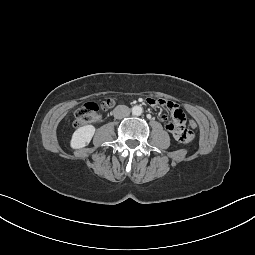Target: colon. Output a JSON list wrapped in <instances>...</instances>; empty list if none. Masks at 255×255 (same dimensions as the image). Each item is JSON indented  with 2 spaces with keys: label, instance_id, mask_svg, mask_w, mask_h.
I'll list each match as a JSON object with an SVG mask.
<instances>
[{
  "label": "colon",
  "instance_id": "colon-1",
  "mask_svg": "<svg viewBox=\"0 0 255 255\" xmlns=\"http://www.w3.org/2000/svg\"><path fill=\"white\" fill-rule=\"evenodd\" d=\"M113 104L114 101L112 99H106L99 104L88 102L81 105L75 112L74 125L80 127L86 124L100 122L102 119L101 111L109 109ZM188 125L194 131L199 127L194 120H189Z\"/></svg>",
  "mask_w": 255,
  "mask_h": 255
}]
</instances>
